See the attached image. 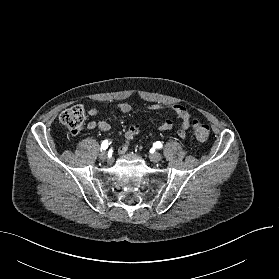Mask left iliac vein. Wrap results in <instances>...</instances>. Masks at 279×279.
Instances as JSON below:
<instances>
[{
    "label": "left iliac vein",
    "mask_w": 279,
    "mask_h": 279,
    "mask_svg": "<svg viewBox=\"0 0 279 279\" xmlns=\"http://www.w3.org/2000/svg\"><path fill=\"white\" fill-rule=\"evenodd\" d=\"M149 157L152 162H159L162 159V155L158 152L151 153Z\"/></svg>",
    "instance_id": "obj_1"
}]
</instances>
